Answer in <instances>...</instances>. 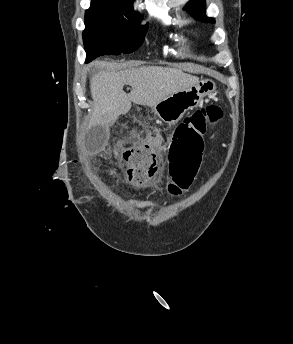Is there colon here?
<instances>
[{
  "label": "colon",
  "mask_w": 293,
  "mask_h": 344,
  "mask_svg": "<svg viewBox=\"0 0 293 344\" xmlns=\"http://www.w3.org/2000/svg\"><path fill=\"white\" fill-rule=\"evenodd\" d=\"M217 105H210L190 113L175 129L170 144L172 164L171 180L166 190L171 195L184 193L192 183L201 163L204 150V136L209 126L222 117ZM153 143L140 140L122 151V165L127 182L137 188H146L153 182Z\"/></svg>",
  "instance_id": "1"
}]
</instances>
